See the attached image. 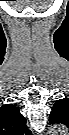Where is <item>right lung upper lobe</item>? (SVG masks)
<instances>
[{
    "mask_svg": "<svg viewBox=\"0 0 69 135\" xmlns=\"http://www.w3.org/2000/svg\"><path fill=\"white\" fill-rule=\"evenodd\" d=\"M1 131L3 135H31L26 125V119L13 104L0 108Z\"/></svg>",
    "mask_w": 69,
    "mask_h": 135,
    "instance_id": "1",
    "label": "right lung upper lobe"
}]
</instances>
